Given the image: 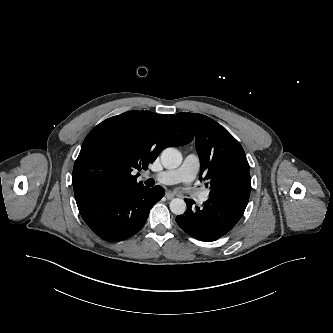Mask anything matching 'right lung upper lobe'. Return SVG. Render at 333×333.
Masks as SVG:
<instances>
[{"mask_svg": "<svg viewBox=\"0 0 333 333\" xmlns=\"http://www.w3.org/2000/svg\"><path fill=\"white\" fill-rule=\"evenodd\" d=\"M192 140L189 126L175 115L129 111L108 118L82 144L72 175L75 198L93 191H136L144 187L136 170L147 169L166 147Z\"/></svg>", "mask_w": 333, "mask_h": 333, "instance_id": "obj_1", "label": "right lung upper lobe"}]
</instances>
